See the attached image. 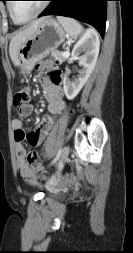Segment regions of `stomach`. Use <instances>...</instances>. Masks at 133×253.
Listing matches in <instances>:
<instances>
[{"label":"stomach","mask_w":133,"mask_h":253,"mask_svg":"<svg viewBox=\"0 0 133 253\" xmlns=\"http://www.w3.org/2000/svg\"><path fill=\"white\" fill-rule=\"evenodd\" d=\"M64 40L65 31L60 24L52 18H45L18 51L16 65L21 73H30L39 60L56 50Z\"/></svg>","instance_id":"1"}]
</instances>
